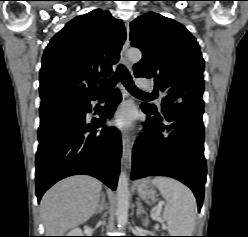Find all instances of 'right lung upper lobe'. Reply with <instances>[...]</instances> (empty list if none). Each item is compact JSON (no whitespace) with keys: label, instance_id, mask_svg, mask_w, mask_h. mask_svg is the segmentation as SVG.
<instances>
[{"label":"right lung upper lobe","instance_id":"1","mask_svg":"<svg viewBox=\"0 0 248 237\" xmlns=\"http://www.w3.org/2000/svg\"><path fill=\"white\" fill-rule=\"evenodd\" d=\"M125 38L122 21L107 10L96 9L68 22L43 54L41 105L82 101L98 94L95 79L111 75Z\"/></svg>","mask_w":248,"mask_h":237}]
</instances>
